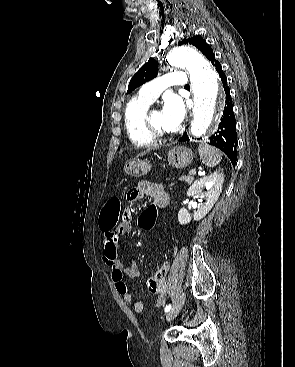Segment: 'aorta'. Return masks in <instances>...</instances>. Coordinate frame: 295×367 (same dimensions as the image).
<instances>
[{
    "label": "aorta",
    "instance_id": "aorta-1",
    "mask_svg": "<svg viewBox=\"0 0 295 367\" xmlns=\"http://www.w3.org/2000/svg\"><path fill=\"white\" fill-rule=\"evenodd\" d=\"M169 65L186 68L194 94L193 120L190 133L202 137L212 126L222 108V86L217 72L198 52L187 47H176L167 56Z\"/></svg>",
    "mask_w": 295,
    "mask_h": 367
}]
</instances>
